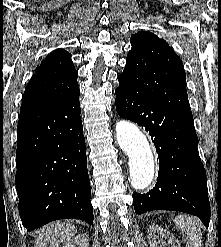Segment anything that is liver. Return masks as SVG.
I'll return each instance as SVG.
<instances>
[{
	"label": "liver",
	"instance_id": "liver-1",
	"mask_svg": "<svg viewBox=\"0 0 221 247\" xmlns=\"http://www.w3.org/2000/svg\"><path fill=\"white\" fill-rule=\"evenodd\" d=\"M76 233L77 228L69 221L52 222L37 232L35 247H60Z\"/></svg>",
	"mask_w": 221,
	"mask_h": 247
}]
</instances>
